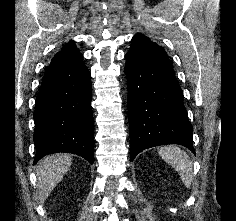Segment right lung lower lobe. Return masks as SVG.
I'll return each mask as SVG.
<instances>
[{"instance_id": "98d812e1", "label": "right lung lower lobe", "mask_w": 236, "mask_h": 221, "mask_svg": "<svg viewBox=\"0 0 236 221\" xmlns=\"http://www.w3.org/2000/svg\"><path fill=\"white\" fill-rule=\"evenodd\" d=\"M91 76L83 56L47 67L34 111V164L66 152L94 163Z\"/></svg>"}]
</instances>
